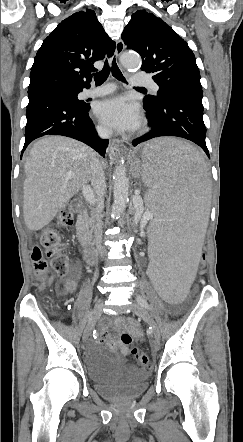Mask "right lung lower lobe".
Listing matches in <instances>:
<instances>
[{"label":"right lung lower lobe","instance_id":"right-lung-lower-lobe-1","mask_svg":"<svg viewBox=\"0 0 243 442\" xmlns=\"http://www.w3.org/2000/svg\"><path fill=\"white\" fill-rule=\"evenodd\" d=\"M28 98L22 153L34 139L50 134L82 141L105 157L108 140L98 137L88 115L90 106L78 100L76 93L64 87L48 85L30 89Z\"/></svg>","mask_w":243,"mask_h":442}]
</instances>
